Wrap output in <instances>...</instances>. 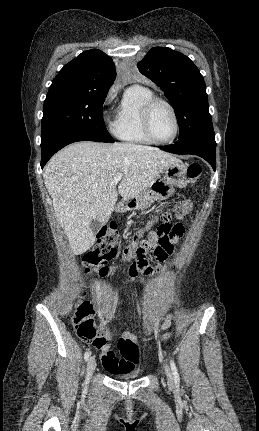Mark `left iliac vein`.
<instances>
[{"mask_svg":"<svg viewBox=\"0 0 259 431\" xmlns=\"http://www.w3.org/2000/svg\"><path fill=\"white\" fill-rule=\"evenodd\" d=\"M164 370H165V374L167 376L168 383L170 385H173L174 384V379H173V376H172V373H171V370H170L169 366L168 365H164Z\"/></svg>","mask_w":259,"mask_h":431,"instance_id":"1","label":"left iliac vein"}]
</instances>
